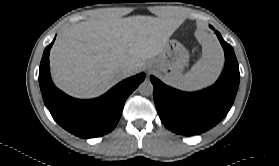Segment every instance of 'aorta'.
Here are the masks:
<instances>
[{
    "label": "aorta",
    "instance_id": "obj_1",
    "mask_svg": "<svg viewBox=\"0 0 279 166\" xmlns=\"http://www.w3.org/2000/svg\"><path fill=\"white\" fill-rule=\"evenodd\" d=\"M139 93L145 96L151 95L153 93V85L150 81H143L138 87Z\"/></svg>",
    "mask_w": 279,
    "mask_h": 166
}]
</instances>
